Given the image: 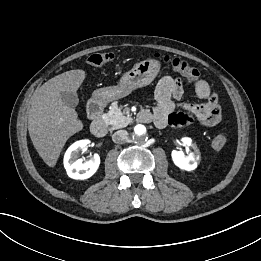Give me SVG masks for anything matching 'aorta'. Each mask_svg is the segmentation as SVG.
<instances>
[{
	"label": "aorta",
	"mask_w": 261,
	"mask_h": 261,
	"mask_svg": "<svg viewBox=\"0 0 261 261\" xmlns=\"http://www.w3.org/2000/svg\"><path fill=\"white\" fill-rule=\"evenodd\" d=\"M133 135L137 140H143L146 137V128L143 125H136L133 130Z\"/></svg>",
	"instance_id": "aorta-1"
}]
</instances>
